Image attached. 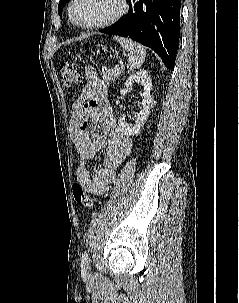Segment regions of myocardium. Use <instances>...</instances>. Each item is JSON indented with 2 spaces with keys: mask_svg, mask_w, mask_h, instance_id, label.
<instances>
[{
  "mask_svg": "<svg viewBox=\"0 0 239 303\" xmlns=\"http://www.w3.org/2000/svg\"><path fill=\"white\" fill-rule=\"evenodd\" d=\"M79 0H72L71 6H70V17L72 22L82 28V29H86V30H93V29H100V28H105L108 26H111L113 24H115L116 22H118L120 19H122L128 12L129 10V4H128V0H119V4H120V8L119 11L113 15L112 17H110L109 19L97 22V23H92V24H82L78 21L77 17H76V5L78 3Z\"/></svg>",
  "mask_w": 239,
  "mask_h": 303,
  "instance_id": "obj_1",
  "label": "myocardium"
}]
</instances>
